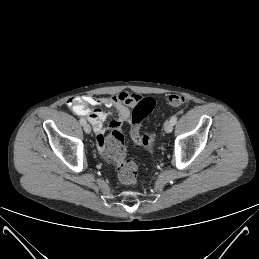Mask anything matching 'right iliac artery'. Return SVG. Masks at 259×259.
<instances>
[{
	"label": "right iliac artery",
	"mask_w": 259,
	"mask_h": 259,
	"mask_svg": "<svg viewBox=\"0 0 259 259\" xmlns=\"http://www.w3.org/2000/svg\"><path fill=\"white\" fill-rule=\"evenodd\" d=\"M80 123L82 124V125H84V124H86V120L84 119V118H80Z\"/></svg>",
	"instance_id": "obj_1"
}]
</instances>
